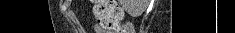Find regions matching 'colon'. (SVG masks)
Returning a JSON list of instances; mask_svg holds the SVG:
<instances>
[{"label": "colon", "mask_w": 235, "mask_h": 33, "mask_svg": "<svg viewBox=\"0 0 235 33\" xmlns=\"http://www.w3.org/2000/svg\"><path fill=\"white\" fill-rule=\"evenodd\" d=\"M94 15L97 21L104 29L116 33H130L132 26L130 24L121 25L122 9L114 0H93Z\"/></svg>", "instance_id": "colon-1"}]
</instances>
